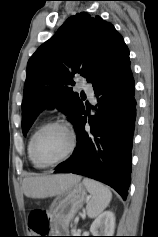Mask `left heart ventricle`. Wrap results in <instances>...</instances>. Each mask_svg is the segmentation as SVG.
Listing matches in <instances>:
<instances>
[{
	"label": "left heart ventricle",
	"mask_w": 158,
	"mask_h": 237,
	"mask_svg": "<svg viewBox=\"0 0 158 237\" xmlns=\"http://www.w3.org/2000/svg\"><path fill=\"white\" fill-rule=\"evenodd\" d=\"M70 144L67 131L61 127L45 130L36 142V155L44 162H49L62 157Z\"/></svg>",
	"instance_id": "left-heart-ventricle-1"
}]
</instances>
